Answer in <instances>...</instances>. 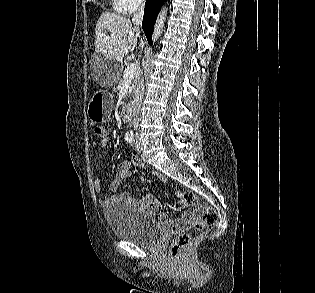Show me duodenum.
Instances as JSON below:
<instances>
[{
    "label": "duodenum",
    "instance_id": "410a0bca",
    "mask_svg": "<svg viewBox=\"0 0 315 293\" xmlns=\"http://www.w3.org/2000/svg\"><path fill=\"white\" fill-rule=\"evenodd\" d=\"M130 105L128 103H124L121 108V118L123 121H128L130 118Z\"/></svg>",
    "mask_w": 315,
    "mask_h": 293
}]
</instances>
